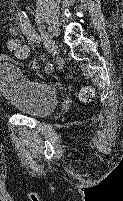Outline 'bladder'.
Wrapping results in <instances>:
<instances>
[{"instance_id":"31cf9c89","label":"bladder","mask_w":123,"mask_h":201,"mask_svg":"<svg viewBox=\"0 0 123 201\" xmlns=\"http://www.w3.org/2000/svg\"><path fill=\"white\" fill-rule=\"evenodd\" d=\"M0 90L9 105L27 116L45 117L58 105L52 85L26 76L11 62H0Z\"/></svg>"}]
</instances>
